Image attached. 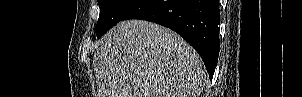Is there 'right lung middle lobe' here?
<instances>
[{
    "label": "right lung middle lobe",
    "mask_w": 302,
    "mask_h": 97,
    "mask_svg": "<svg viewBox=\"0 0 302 97\" xmlns=\"http://www.w3.org/2000/svg\"><path fill=\"white\" fill-rule=\"evenodd\" d=\"M141 0H98L100 15L95 27L97 38H100L111 27L116 25Z\"/></svg>",
    "instance_id": "right-lung-middle-lobe-1"
}]
</instances>
